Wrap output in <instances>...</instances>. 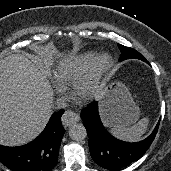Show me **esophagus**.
<instances>
[{
	"mask_svg": "<svg viewBox=\"0 0 171 171\" xmlns=\"http://www.w3.org/2000/svg\"><path fill=\"white\" fill-rule=\"evenodd\" d=\"M80 120V117L77 113L72 110H66L62 116V124L65 127H68Z\"/></svg>",
	"mask_w": 171,
	"mask_h": 171,
	"instance_id": "esophagus-1",
	"label": "esophagus"
}]
</instances>
